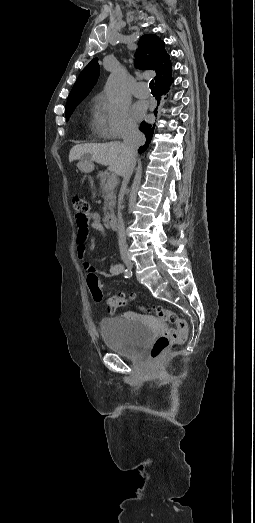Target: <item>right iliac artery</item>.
Segmentation results:
<instances>
[{"label":"right iliac artery","mask_w":255,"mask_h":523,"mask_svg":"<svg viewBox=\"0 0 255 523\" xmlns=\"http://www.w3.org/2000/svg\"><path fill=\"white\" fill-rule=\"evenodd\" d=\"M124 276H125V278H129V277H131V276H132V272H131V270H129V269H125V271H124Z\"/></svg>","instance_id":"82829eb1"}]
</instances>
